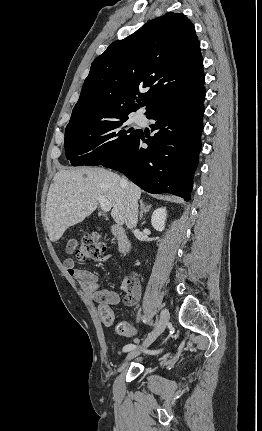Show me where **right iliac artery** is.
<instances>
[{
    "instance_id": "right-iliac-artery-1",
    "label": "right iliac artery",
    "mask_w": 262,
    "mask_h": 431,
    "mask_svg": "<svg viewBox=\"0 0 262 431\" xmlns=\"http://www.w3.org/2000/svg\"><path fill=\"white\" fill-rule=\"evenodd\" d=\"M141 318V320L144 322V323H147L148 322V320H147V318H145L144 316H141L140 317ZM138 342V341H137ZM134 348H136V346L134 345V344H128V345H126L124 348H123V351L124 352H128V351H130V350H132V349H134ZM159 351H147V353H150V354H156V353H158Z\"/></svg>"
}]
</instances>
